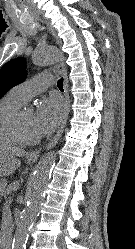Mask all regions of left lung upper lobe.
<instances>
[{
  "mask_svg": "<svg viewBox=\"0 0 135 249\" xmlns=\"http://www.w3.org/2000/svg\"><path fill=\"white\" fill-rule=\"evenodd\" d=\"M26 59L19 57L6 63L0 69V98L26 77Z\"/></svg>",
  "mask_w": 135,
  "mask_h": 249,
  "instance_id": "obj_1",
  "label": "left lung upper lobe"
}]
</instances>
